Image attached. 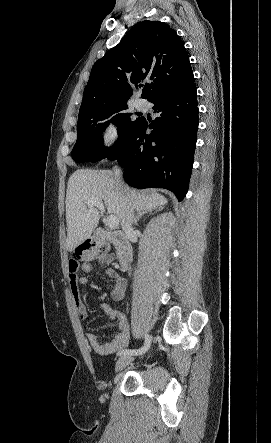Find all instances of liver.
I'll list each match as a JSON object with an SVG mask.
<instances>
[{
  "instance_id": "1",
  "label": "liver",
  "mask_w": 271,
  "mask_h": 443,
  "mask_svg": "<svg viewBox=\"0 0 271 443\" xmlns=\"http://www.w3.org/2000/svg\"><path fill=\"white\" fill-rule=\"evenodd\" d=\"M127 188V198L132 208L139 210H156L168 204L161 194H145L139 190ZM102 200L108 214L122 223L127 210L125 196L115 188L113 172L110 170H76L70 176L66 194V247L73 251L77 245L91 237L97 227L100 212L97 208H88V202Z\"/></svg>"
}]
</instances>
